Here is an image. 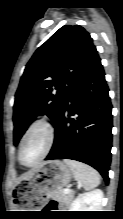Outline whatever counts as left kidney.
Returning <instances> with one entry per match:
<instances>
[{
	"label": "left kidney",
	"instance_id": "left-kidney-1",
	"mask_svg": "<svg viewBox=\"0 0 123 219\" xmlns=\"http://www.w3.org/2000/svg\"><path fill=\"white\" fill-rule=\"evenodd\" d=\"M103 192L96 189L79 194L71 204V211H102Z\"/></svg>",
	"mask_w": 123,
	"mask_h": 219
}]
</instances>
